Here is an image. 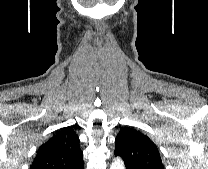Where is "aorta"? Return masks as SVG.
<instances>
[{"label":"aorta","instance_id":"762f6f07","mask_svg":"<svg viewBox=\"0 0 208 169\" xmlns=\"http://www.w3.org/2000/svg\"><path fill=\"white\" fill-rule=\"evenodd\" d=\"M110 169H125L124 162L122 161L121 158H116L112 162Z\"/></svg>","mask_w":208,"mask_h":169}]
</instances>
